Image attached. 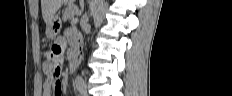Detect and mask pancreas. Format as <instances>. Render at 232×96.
Listing matches in <instances>:
<instances>
[{
    "label": "pancreas",
    "mask_w": 232,
    "mask_h": 96,
    "mask_svg": "<svg viewBox=\"0 0 232 96\" xmlns=\"http://www.w3.org/2000/svg\"><path fill=\"white\" fill-rule=\"evenodd\" d=\"M80 11L74 5H69L63 14V21L72 20L75 15H78Z\"/></svg>",
    "instance_id": "cf45deb5"
}]
</instances>
